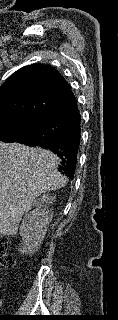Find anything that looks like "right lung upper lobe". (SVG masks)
Segmentation results:
<instances>
[{
    "label": "right lung upper lobe",
    "instance_id": "right-lung-upper-lobe-1",
    "mask_svg": "<svg viewBox=\"0 0 118 320\" xmlns=\"http://www.w3.org/2000/svg\"><path fill=\"white\" fill-rule=\"evenodd\" d=\"M74 97L68 83L54 68L28 65L0 86V120H47L56 108Z\"/></svg>",
    "mask_w": 118,
    "mask_h": 320
}]
</instances>
